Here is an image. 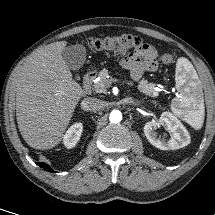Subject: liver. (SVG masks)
I'll use <instances>...</instances> for the list:
<instances>
[{"label": "liver", "mask_w": 215, "mask_h": 215, "mask_svg": "<svg viewBox=\"0 0 215 215\" xmlns=\"http://www.w3.org/2000/svg\"><path fill=\"white\" fill-rule=\"evenodd\" d=\"M67 42L34 51L14 78L19 131L34 149L57 146L83 94L62 58Z\"/></svg>", "instance_id": "liver-1"}]
</instances>
